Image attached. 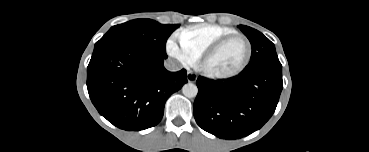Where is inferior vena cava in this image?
I'll return each instance as SVG.
<instances>
[{"label":"inferior vena cava","mask_w":369,"mask_h":152,"mask_svg":"<svg viewBox=\"0 0 369 152\" xmlns=\"http://www.w3.org/2000/svg\"><path fill=\"white\" fill-rule=\"evenodd\" d=\"M164 66L171 72H176L182 69V65L178 61L171 58L165 60Z\"/></svg>","instance_id":"602c4592"}]
</instances>
